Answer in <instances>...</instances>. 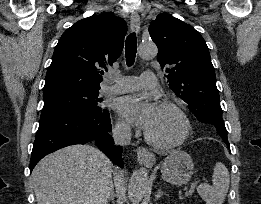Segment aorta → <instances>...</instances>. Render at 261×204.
<instances>
[{
    "instance_id": "1",
    "label": "aorta",
    "mask_w": 261,
    "mask_h": 204,
    "mask_svg": "<svg viewBox=\"0 0 261 204\" xmlns=\"http://www.w3.org/2000/svg\"><path fill=\"white\" fill-rule=\"evenodd\" d=\"M157 47L153 43H142L138 47V54L142 59H151L157 55ZM148 181V171L145 168L136 170L129 181L128 194L133 204H139L145 194Z\"/></svg>"
}]
</instances>
